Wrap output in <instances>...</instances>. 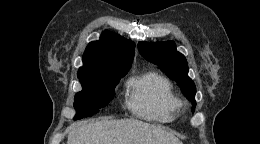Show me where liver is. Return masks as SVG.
<instances>
[{"label":"liver","mask_w":260,"mask_h":144,"mask_svg":"<svg viewBox=\"0 0 260 144\" xmlns=\"http://www.w3.org/2000/svg\"><path fill=\"white\" fill-rule=\"evenodd\" d=\"M67 144H182L171 132L138 119L75 123Z\"/></svg>","instance_id":"6515ba94"}]
</instances>
